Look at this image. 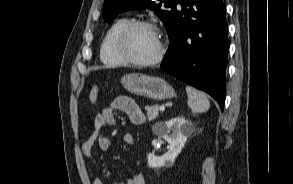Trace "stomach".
I'll list each match as a JSON object with an SVG mask.
<instances>
[{"instance_id":"obj_1","label":"stomach","mask_w":293,"mask_h":184,"mask_svg":"<svg viewBox=\"0 0 293 184\" xmlns=\"http://www.w3.org/2000/svg\"><path fill=\"white\" fill-rule=\"evenodd\" d=\"M121 83L128 92L153 100H164L176 96L174 89L159 77L130 73L121 78Z\"/></svg>"}]
</instances>
